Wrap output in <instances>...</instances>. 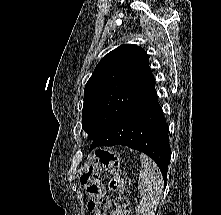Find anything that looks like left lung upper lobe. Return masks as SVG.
Listing matches in <instances>:
<instances>
[{
    "instance_id": "1",
    "label": "left lung upper lobe",
    "mask_w": 221,
    "mask_h": 215,
    "mask_svg": "<svg viewBox=\"0 0 221 215\" xmlns=\"http://www.w3.org/2000/svg\"><path fill=\"white\" fill-rule=\"evenodd\" d=\"M154 86L148 55L141 47L124 44L108 53L85 86L82 127L88 139L104 132Z\"/></svg>"
}]
</instances>
